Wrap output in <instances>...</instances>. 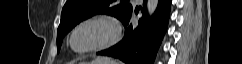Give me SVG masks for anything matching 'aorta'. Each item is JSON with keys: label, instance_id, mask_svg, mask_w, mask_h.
<instances>
[{"label": "aorta", "instance_id": "762f6f07", "mask_svg": "<svg viewBox=\"0 0 242 64\" xmlns=\"http://www.w3.org/2000/svg\"><path fill=\"white\" fill-rule=\"evenodd\" d=\"M158 6V0H148L147 1V11H148V15H152Z\"/></svg>", "mask_w": 242, "mask_h": 64}]
</instances>
